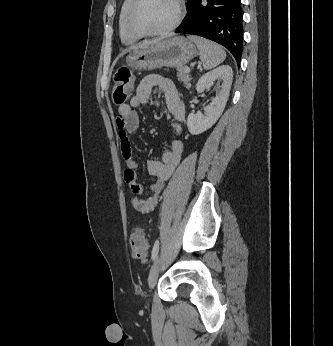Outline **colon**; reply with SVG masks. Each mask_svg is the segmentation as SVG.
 <instances>
[{
  "label": "colon",
  "instance_id": "obj_1",
  "mask_svg": "<svg viewBox=\"0 0 333 346\" xmlns=\"http://www.w3.org/2000/svg\"><path fill=\"white\" fill-rule=\"evenodd\" d=\"M132 91V75L127 67H121L114 76L113 100L117 105H123ZM130 248L133 256L141 261L146 260L148 242L142 229L135 230L130 236Z\"/></svg>",
  "mask_w": 333,
  "mask_h": 346
}]
</instances>
